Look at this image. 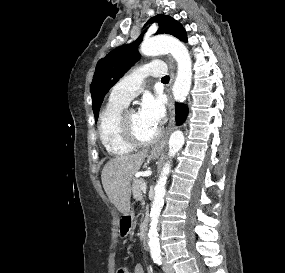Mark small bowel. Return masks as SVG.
Wrapping results in <instances>:
<instances>
[{"mask_svg": "<svg viewBox=\"0 0 285 273\" xmlns=\"http://www.w3.org/2000/svg\"><path fill=\"white\" fill-rule=\"evenodd\" d=\"M128 273H145V270H144V267L141 263H137L135 266H134V269L132 272H129Z\"/></svg>", "mask_w": 285, "mask_h": 273, "instance_id": "small-bowel-1", "label": "small bowel"}]
</instances>
